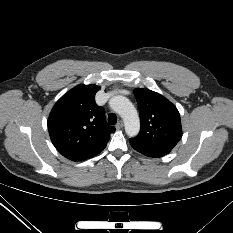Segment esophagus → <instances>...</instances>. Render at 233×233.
<instances>
[{
  "label": "esophagus",
  "instance_id": "1",
  "mask_svg": "<svg viewBox=\"0 0 233 233\" xmlns=\"http://www.w3.org/2000/svg\"><path fill=\"white\" fill-rule=\"evenodd\" d=\"M121 128H123V122H122V121H119V122L117 123V125H116V129L119 130V129H121Z\"/></svg>",
  "mask_w": 233,
  "mask_h": 233
}]
</instances>
